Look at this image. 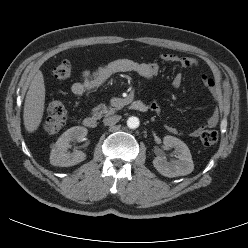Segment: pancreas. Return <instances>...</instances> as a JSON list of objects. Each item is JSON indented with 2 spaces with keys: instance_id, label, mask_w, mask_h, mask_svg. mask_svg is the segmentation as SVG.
<instances>
[{
  "instance_id": "cf45deb5",
  "label": "pancreas",
  "mask_w": 248,
  "mask_h": 248,
  "mask_svg": "<svg viewBox=\"0 0 248 248\" xmlns=\"http://www.w3.org/2000/svg\"><path fill=\"white\" fill-rule=\"evenodd\" d=\"M114 111H115V108H111V107L108 108L104 104H100L93 109V112L98 115L103 114V113L111 114V113H114Z\"/></svg>"
}]
</instances>
